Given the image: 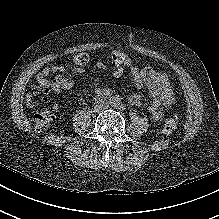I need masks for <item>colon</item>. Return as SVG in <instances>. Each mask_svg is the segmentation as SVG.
<instances>
[{"label":"colon","instance_id":"5ec220e1","mask_svg":"<svg viewBox=\"0 0 219 219\" xmlns=\"http://www.w3.org/2000/svg\"><path fill=\"white\" fill-rule=\"evenodd\" d=\"M88 61L89 55L87 53H79L74 58V62L77 65H86ZM49 76V72L41 73L36 82L32 85L31 105L35 108L33 121L35 130L37 132H41L48 129L54 120L53 113L45 107V104L49 100L50 94ZM176 127V119L170 118L164 122L161 131L163 134L169 135L176 129Z\"/></svg>","mask_w":219,"mask_h":219}]
</instances>
